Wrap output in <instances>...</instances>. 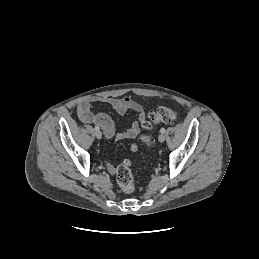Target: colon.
<instances>
[{
    "label": "colon",
    "instance_id": "obj_1",
    "mask_svg": "<svg viewBox=\"0 0 259 259\" xmlns=\"http://www.w3.org/2000/svg\"><path fill=\"white\" fill-rule=\"evenodd\" d=\"M178 114L175 110L167 107H160L149 113L148 118L143 122L146 130H151L158 123H173L177 120ZM141 140L147 145L152 146L153 142L148 135H141ZM116 181L125 193H131L135 189L134 175L131 163L125 160L115 170Z\"/></svg>",
    "mask_w": 259,
    "mask_h": 259
}]
</instances>
